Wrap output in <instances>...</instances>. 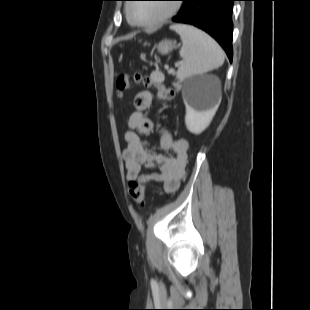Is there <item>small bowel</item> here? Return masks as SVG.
<instances>
[{"label":"small bowel","mask_w":310,"mask_h":310,"mask_svg":"<svg viewBox=\"0 0 310 310\" xmlns=\"http://www.w3.org/2000/svg\"><path fill=\"white\" fill-rule=\"evenodd\" d=\"M154 99L152 92L139 91L134 99L135 110L128 117L129 130L125 132L126 148L122 156L128 182L162 183L164 192H175L185 177L188 155V142L185 139L175 140L168 131L159 140L161 150L169 155L151 153L144 145L141 135H148L153 130V122L146 115ZM151 172L144 173L142 169Z\"/></svg>","instance_id":"small-bowel-1"}]
</instances>
